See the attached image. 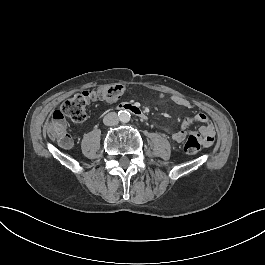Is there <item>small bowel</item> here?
<instances>
[{"mask_svg": "<svg viewBox=\"0 0 265 265\" xmlns=\"http://www.w3.org/2000/svg\"><path fill=\"white\" fill-rule=\"evenodd\" d=\"M160 96H163L162 94ZM172 102L180 107L186 108V109H192L193 105L188 100L184 99L181 96L174 95L171 97ZM199 123L201 124L199 128V132L193 131V130H180L175 131L172 133L171 138L175 143H181L185 138L186 135H192L199 137V142L202 143V147L206 148L207 146L212 145L214 136H215V128L214 125L209 120V117L205 113H197L191 117H185L183 118L181 124L182 127L185 128L187 126H190L192 124Z\"/></svg>", "mask_w": 265, "mask_h": 265, "instance_id": "c3829d8e", "label": "small bowel"}]
</instances>
